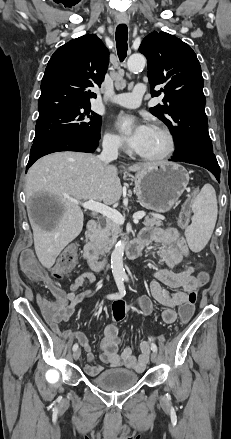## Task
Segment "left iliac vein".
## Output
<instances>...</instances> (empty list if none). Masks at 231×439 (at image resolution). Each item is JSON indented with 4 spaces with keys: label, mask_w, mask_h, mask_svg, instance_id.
I'll list each match as a JSON object with an SVG mask.
<instances>
[{
    "label": "left iliac vein",
    "mask_w": 231,
    "mask_h": 439,
    "mask_svg": "<svg viewBox=\"0 0 231 439\" xmlns=\"http://www.w3.org/2000/svg\"><path fill=\"white\" fill-rule=\"evenodd\" d=\"M151 361H152L153 363H158V361H159V356H158L157 352H152V354H151Z\"/></svg>",
    "instance_id": "left-iliac-vein-1"
}]
</instances>
